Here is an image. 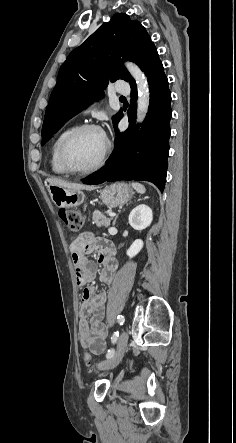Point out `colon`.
I'll return each mask as SVG.
<instances>
[{
    "label": "colon",
    "instance_id": "5ec220e1",
    "mask_svg": "<svg viewBox=\"0 0 236 443\" xmlns=\"http://www.w3.org/2000/svg\"><path fill=\"white\" fill-rule=\"evenodd\" d=\"M59 216L61 220L65 223V225L72 231H79L84 223V216L81 212L76 210H61L59 212ZM92 354L90 352H86L84 354V362L87 367L92 366Z\"/></svg>",
    "mask_w": 236,
    "mask_h": 443
}]
</instances>
